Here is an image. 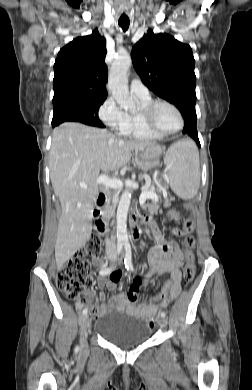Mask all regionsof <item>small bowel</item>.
<instances>
[{"label":"small bowel","mask_w":252,"mask_h":390,"mask_svg":"<svg viewBox=\"0 0 252 390\" xmlns=\"http://www.w3.org/2000/svg\"><path fill=\"white\" fill-rule=\"evenodd\" d=\"M143 217L149 230L157 240L156 244L148 253V261L151 269L143 278H135L127 292L118 293L103 302L100 308L101 314L118 312L138 319H148L157 313L159 307L166 308L181 293L182 274L179 268L184 262V257L178 245L176 242L166 241L162 237L156 223L147 213H144ZM93 263L100 267L103 265V261L99 257L94 258ZM164 273H170V280L164 287L162 301L159 306L155 304L156 298H149L141 302L137 296L138 291L148 285L152 276ZM120 277L121 274L117 272L111 274L109 278L106 275L100 274L97 280V286L100 290L106 288L113 291L116 289ZM91 295L92 292H89L88 296ZM76 307L80 309L83 305L78 302Z\"/></svg>","instance_id":"1"}]
</instances>
